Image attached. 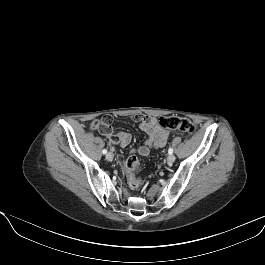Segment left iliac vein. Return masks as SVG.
Instances as JSON below:
<instances>
[{"label": "left iliac vein", "instance_id": "left-iliac-vein-1", "mask_svg": "<svg viewBox=\"0 0 265 265\" xmlns=\"http://www.w3.org/2000/svg\"><path fill=\"white\" fill-rule=\"evenodd\" d=\"M175 161V156L173 154H170L168 157H167V163L168 164H173Z\"/></svg>", "mask_w": 265, "mask_h": 265}]
</instances>
